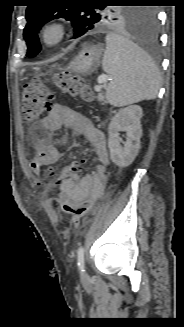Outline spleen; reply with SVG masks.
I'll return each mask as SVG.
<instances>
[{
    "label": "spleen",
    "mask_w": 184,
    "mask_h": 327,
    "mask_svg": "<svg viewBox=\"0 0 184 327\" xmlns=\"http://www.w3.org/2000/svg\"><path fill=\"white\" fill-rule=\"evenodd\" d=\"M102 66L112 78L106 88L109 104L121 107L156 98L161 83L158 68L129 39L109 33Z\"/></svg>",
    "instance_id": "spleen-1"
}]
</instances>
